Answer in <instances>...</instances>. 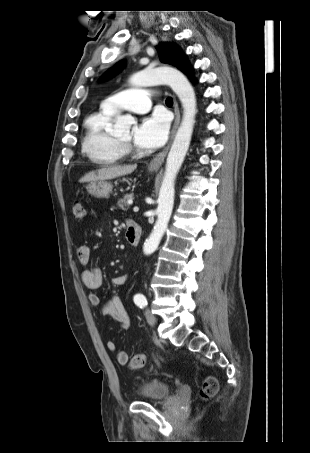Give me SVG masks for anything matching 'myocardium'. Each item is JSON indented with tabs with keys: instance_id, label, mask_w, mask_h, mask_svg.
Here are the masks:
<instances>
[{
	"instance_id": "1",
	"label": "myocardium",
	"mask_w": 310,
	"mask_h": 453,
	"mask_svg": "<svg viewBox=\"0 0 310 453\" xmlns=\"http://www.w3.org/2000/svg\"><path fill=\"white\" fill-rule=\"evenodd\" d=\"M116 141L118 142V144L120 146H122V148L124 149L125 153H129L132 151V146L130 144V142H125V141H122L120 139H117L116 138Z\"/></svg>"
}]
</instances>
